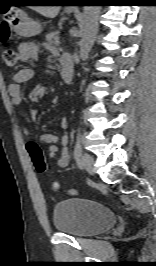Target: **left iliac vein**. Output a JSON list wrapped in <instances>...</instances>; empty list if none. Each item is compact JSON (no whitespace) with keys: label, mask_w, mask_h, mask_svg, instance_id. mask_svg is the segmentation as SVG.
Wrapping results in <instances>:
<instances>
[{"label":"left iliac vein","mask_w":156,"mask_h":266,"mask_svg":"<svg viewBox=\"0 0 156 266\" xmlns=\"http://www.w3.org/2000/svg\"><path fill=\"white\" fill-rule=\"evenodd\" d=\"M81 166L91 175L94 174V159L91 155L84 153L80 160Z\"/></svg>","instance_id":"1"}]
</instances>
